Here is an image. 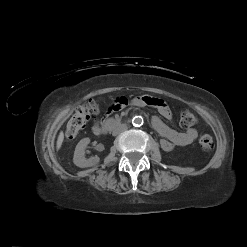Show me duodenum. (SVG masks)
Instances as JSON below:
<instances>
[{"instance_id":"duodenum-1","label":"duodenum","mask_w":247,"mask_h":247,"mask_svg":"<svg viewBox=\"0 0 247 247\" xmlns=\"http://www.w3.org/2000/svg\"><path fill=\"white\" fill-rule=\"evenodd\" d=\"M122 120L120 118H109L107 119L103 125L99 128V133H107L116 126L120 125Z\"/></svg>"}]
</instances>
